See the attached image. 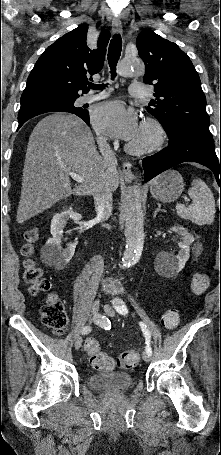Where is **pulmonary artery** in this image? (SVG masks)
<instances>
[{"label": "pulmonary artery", "instance_id": "pulmonary-artery-1", "mask_svg": "<svg viewBox=\"0 0 221 455\" xmlns=\"http://www.w3.org/2000/svg\"><path fill=\"white\" fill-rule=\"evenodd\" d=\"M129 93L132 96L143 97L147 95V88L142 83H132L129 87ZM108 97L106 92H100L93 95H86L81 98L82 103L96 102Z\"/></svg>", "mask_w": 221, "mask_h": 455}]
</instances>
